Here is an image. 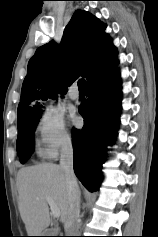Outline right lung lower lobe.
<instances>
[{"label": "right lung lower lobe", "mask_w": 158, "mask_h": 237, "mask_svg": "<svg viewBox=\"0 0 158 237\" xmlns=\"http://www.w3.org/2000/svg\"><path fill=\"white\" fill-rule=\"evenodd\" d=\"M88 98L79 106L84 118L81 130H73L74 171L82 184L96 191L106 147L113 143L121 107V79L118 68L87 84Z\"/></svg>", "instance_id": "1"}]
</instances>
